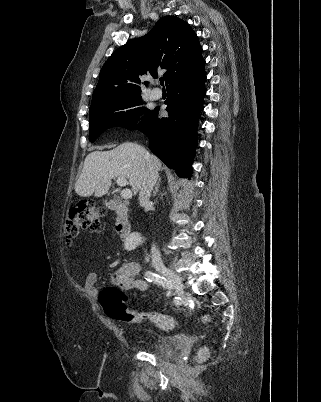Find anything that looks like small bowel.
Returning <instances> with one entry per match:
<instances>
[{
	"instance_id": "small-bowel-1",
	"label": "small bowel",
	"mask_w": 321,
	"mask_h": 402,
	"mask_svg": "<svg viewBox=\"0 0 321 402\" xmlns=\"http://www.w3.org/2000/svg\"><path fill=\"white\" fill-rule=\"evenodd\" d=\"M141 266L137 262H128L123 264L113 273V280L120 283L126 290L145 291L148 288V283L140 277ZM97 280L95 273H90L85 281L87 288H94Z\"/></svg>"
}]
</instances>
